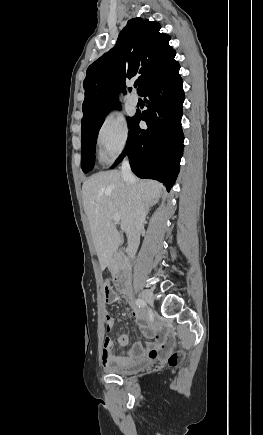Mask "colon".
<instances>
[{"label":"colon","mask_w":263,"mask_h":435,"mask_svg":"<svg viewBox=\"0 0 263 435\" xmlns=\"http://www.w3.org/2000/svg\"><path fill=\"white\" fill-rule=\"evenodd\" d=\"M104 297L106 300L112 301L116 300V296L109 290L108 287H105ZM102 348L104 350H112L114 348V343L109 339H105V341L102 343ZM183 354L180 352L173 353L168 358V364L170 366H176L181 360H182Z\"/></svg>","instance_id":"obj_1"}]
</instances>
